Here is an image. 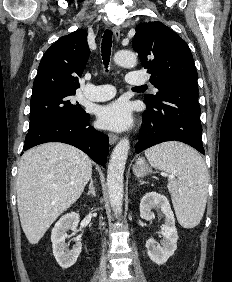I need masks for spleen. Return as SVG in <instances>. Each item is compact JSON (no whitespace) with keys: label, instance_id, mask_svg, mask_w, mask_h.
Returning a JSON list of instances; mask_svg holds the SVG:
<instances>
[{"label":"spleen","instance_id":"3e777b00","mask_svg":"<svg viewBox=\"0 0 232 282\" xmlns=\"http://www.w3.org/2000/svg\"><path fill=\"white\" fill-rule=\"evenodd\" d=\"M151 166L176 176L168 190L172 197L178 222L185 228L200 223L207 202L208 170L203 158L192 148L177 142H168L145 151ZM144 163L138 158L137 164Z\"/></svg>","mask_w":232,"mask_h":282}]
</instances>
